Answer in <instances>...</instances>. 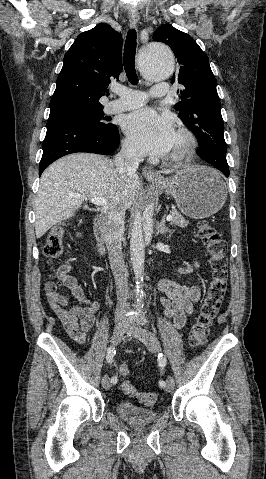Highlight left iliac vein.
I'll list each match as a JSON object with an SVG mask.
<instances>
[{
    "mask_svg": "<svg viewBox=\"0 0 266 479\" xmlns=\"http://www.w3.org/2000/svg\"><path fill=\"white\" fill-rule=\"evenodd\" d=\"M126 333L134 336L135 338L143 342L150 352L156 354L160 352V343L155 337V335L152 334L150 331L135 324H128L126 327ZM165 384V390L167 392H171L174 389L175 382L171 376L167 377Z\"/></svg>",
    "mask_w": 266,
    "mask_h": 479,
    "instance_id": "4c4485c4",
    "label": "left iliac vein"
}]
</instances>
